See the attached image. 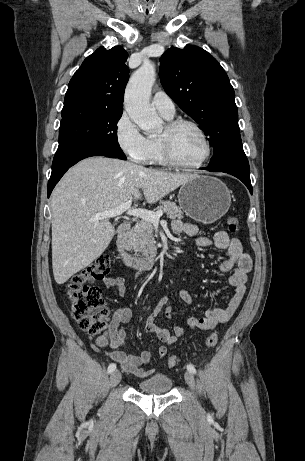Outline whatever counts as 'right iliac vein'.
<instances>
[{
  "label": "right iliac vein",
  "instance_id": "1",
  "mask_svg": "<svg viewBox=\"0 0 305 461\" xmlns=\"http://www.w3.org/2000/svg\"><path fill=\"white\" fill-rule=\"evenodd\" d=\"M121 380V373L118 370L112 372L110 376V386H116Z\"/></svg>",
  "mask_w": 305,
  "mask_h": 461
}]
</instances>
